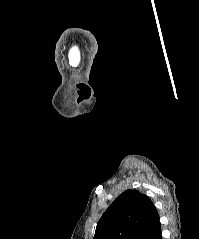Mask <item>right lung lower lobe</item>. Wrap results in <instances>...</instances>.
<instances>
[{
  "label": "right lung lower lobe",
  "instance_id": "right-lung-lower-lobe-1",
  "mask_svg": "<svg viewBox=\"0 0 199 239\" xmlns=\"http://www.w3.org/2000/svg\"><path fill=\"white\" fill-rule=\"evenodd\" d=\"M142 239H162L160 222L144 235Z\"/></svg>",
  "mask_w": 199,
  "mask_h": 239
}]
</instances>
